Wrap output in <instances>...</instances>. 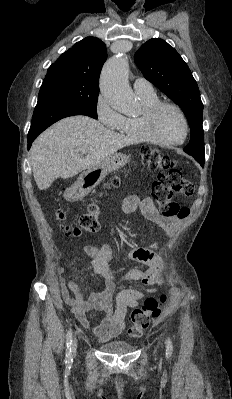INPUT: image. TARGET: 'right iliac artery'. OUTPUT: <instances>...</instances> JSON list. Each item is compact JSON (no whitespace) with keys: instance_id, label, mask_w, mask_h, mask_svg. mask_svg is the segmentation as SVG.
I'll use <instances>...</instances> for the list:
<instances>
[{"instance_id":"right-iliac-artery-1","label":"right iliac artery","mask_w":232,"mask_h":399,"mask_svg":"<svg viewBox=\"0 0 232 399\" xmlns=\"http://www.w3.org/2000/svg\"><path fill=\"white\" fill-rule=\"evenodd\" d=\"M72 362H73V359H72V330L70 329L66 335L65 363H66V365H71Z\"/></svg>"}]
</instances>
